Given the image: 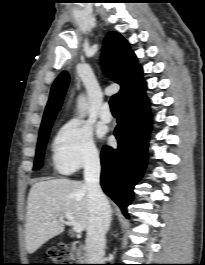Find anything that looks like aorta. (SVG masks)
<instances>
[{"label":"aorta","instance_id":"aorta-1","mask_svg":"<svg viewBox=\"0 0 205 265\" xmlns=\"http://www.w3.org/2000/svg\"><path fill=\"white\" fill-rule=\"evenodd\" d=\"M86 103H85V98L83 96L79 97L78 99V109L79 112L84 115V109H85Z\"/></svg>","mask_w":205,"mask_h":265}]
</instances>
